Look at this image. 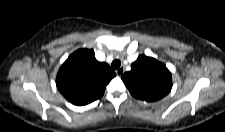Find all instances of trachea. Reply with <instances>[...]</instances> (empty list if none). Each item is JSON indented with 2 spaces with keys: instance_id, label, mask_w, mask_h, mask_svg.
<instances>
[{
  "instance_id": "trachea-1",
  "label": "trachea",
  "mask_w": 225,
  "mask_h": 132,
  "mask_svg": "<svg viewBox=\"0 0 225 132\" xmlns=\"http://www.w3.org/2000/svg\"><path fill=\"white\" fill-rule=\"evenodd\" d=\"M120 65H121L120 60H114V61L112 62V64H111V67H112L113 69H118V68L120 67Z\"/></svg>"
}]
</instances>
